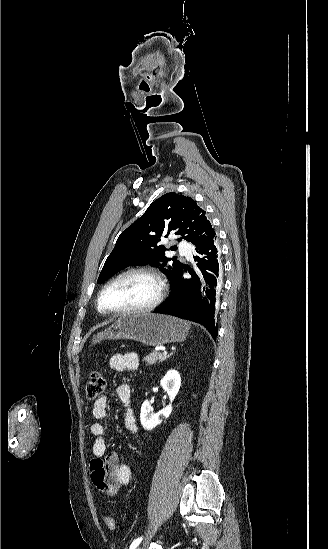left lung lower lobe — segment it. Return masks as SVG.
<instances>
[{
  "label": "left lung lower lobe",
  "mask_w": 328,
  "mask_h": 549,
  "mask_svg": "<svg viewBox=\"0 0 328 549\" xmlns=\"http://www.w3.org/2000/svg\"><path fill=\"white\" fill-rule=\"evenodd\" d=\"M216 237L195 250V270L188 269L192 278H182V273L171 284V293L154 313L172 315L202 324L214 340L218 335L215 313L222 289V267ZM186 270V268L184 267Z\"/></svg>",
  "instance_id": "0a47b994"
}]
</instances>
